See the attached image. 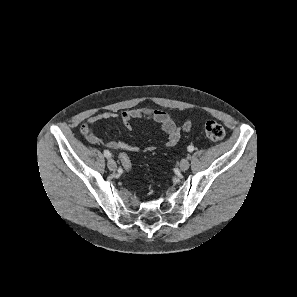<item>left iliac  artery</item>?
<instances>
[{"mask_svg": "<svg viewBox=\"0 0 297 297\" xmlns=\"http://www.w3.org/2000/svg\"><path fill=\"white\" fill-rule=\"evenodd\" d=\"M194 150V147L192 145L188 146V151L189 152H192ZM187 158L190 159L191 156L190 155H187Z\"/></svg>", "mask_w": 297, "mask_h": 297, "instance_id": "1", "label": "left iliac artery"}]
</instances>
